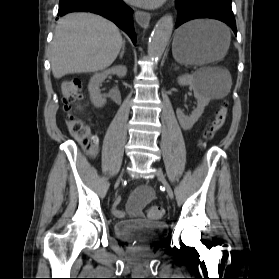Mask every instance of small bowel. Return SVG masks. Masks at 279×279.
<instances>
[{"label":"small bowel","instance_id":"small-bowel-1","mask_svg":"<svg viewBox=\"0 0 279 279\" xmlns=\"http://www.w3.org/2000/svg\"><path fill=\"white\" fill-rule=\"evenodd\" d=\"M153 198V190L149 186L138 187L130 196L126 212L118 207L120 199L117 198L113 204L112 212L117 218H122L128 213L131 216H137L142 208Z\"/></svg>","mask_w":279,"mask_h":279}]
</instances>
